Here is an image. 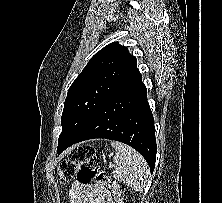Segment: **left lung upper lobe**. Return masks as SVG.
Wrapping results in <instances>:
<instances>
[{"mask_svg":"<svg viewBox=\"0 0 222 203\" xmlns=\"http://www.w3.org/2000/svg\"><path fill=\"white\" fill-rule=\"evenodd\" d=\"M137 69L125 46L110 43L98 51L70 86L62 113L58 148L73 141L105 100Z\"/></svg>","mask_w":222,"mask_h":203,"instance_id":"1","label":"left lung upper lobe"}]
</instances>
